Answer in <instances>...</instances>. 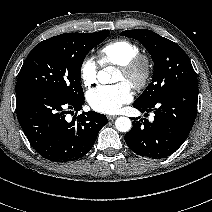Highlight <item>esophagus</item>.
Listing matches in <instances>:
<instances>
[{"instance_id": "esophagus-1", "label": "esophagus", "mask_w": 212, "mask_h": 212, "mask_svg": "<svg viewBox=\"0 0 212 212\" xmlns=\"http://www.w3.org/2000/svg\"><path fill=\"white\" fill-rule=\"evenodd\" d=\"M107 118H108V120L113 121L114 119L117 118V116H114V115L111 116V115H109Z\"/></svg>"}]
</instances>
